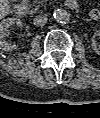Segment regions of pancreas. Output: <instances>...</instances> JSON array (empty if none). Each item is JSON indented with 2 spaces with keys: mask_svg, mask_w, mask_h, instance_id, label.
Returning <instances> with one entry per match:
<instances>
[{
  "mask_svg": "<svg viewBox=\"0 0 100 118\" xmlns=\"http://www.w3.org/2000/svg\"><path fill=\"white\" fill-rule=\"evenodd\" d=\"M45 1H47V0H40L39 3H40V4H43ZM39 7H40L39 5L36 6L35 10H37Z\"/></svg>",
  "mask_w": 100,
  "mask_h": 118,
  "instance_id": "pancreas-1",
  "label": "pancreas"
}]
</instances>
